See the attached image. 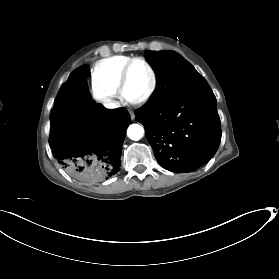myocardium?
<instances>
[{
    "mask_svg": "<svg viewBox=\"0 0 279 279\" xmlns=\"http://www.w3.org/2000/svg\"><path fill=\"white\" fill-rule=\"evenodd\" d=\"M142 63L149 71L151 76V85L149 90L142 96L136 99L129 98L126 93V84H127V78L129 71L133 64L135 63ZM157 88V75L152 67V65L143 57H133L131 58L122 68L120 75H119V81H118V94L123 102L126 104H132V105H140L148 100L154 95Z\"/></svg>",
    "mask_w": 279,
    "mask_h": 279,
    "instance_id": "obj_1",
    "label": "myocardium"
}]
</instances>
